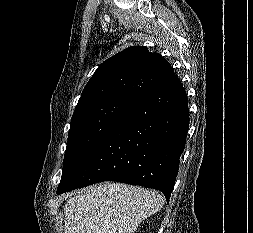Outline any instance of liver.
Masks as SVG:
<instances>
[{"label": "liver", "instance_id": "obj_1", "mask_svg": "<svg viewBox=\"0 0 253 233\" xmlns=\"http://www.w3.org/2000/svg\"><path fill=\"white\" fill-rule=\"evenodd\" d=\"M164 204L157 191L122 183L88 187L64 205V233H135Z\"/></svg>", "mask_w": 253, "mask_h": 233}]
</instances>
